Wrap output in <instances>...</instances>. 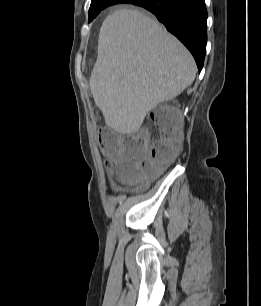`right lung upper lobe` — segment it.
Segmentation results:
<instances>
[{
    "instance_id": "1",
    "label": "right lung upper lobe",
    "mask_w": 261,
    "mask_h": 306,
    "mask_svg": "<svg viewBox=\"0 0 261 306\" xmlns=\"http://www.w3.org/2000/svg\"><path fill=\"white\" fill-rule=\"evenodd\" d=\"M100 1H106V0H92V3H94V2H100ZM121 1H125L124 3H126L128 0H121Z\"/></svg>"
}]
</instances>
